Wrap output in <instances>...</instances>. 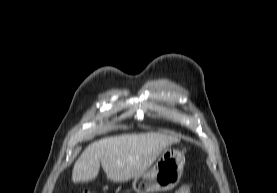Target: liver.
Wrapping results in <instances>:
<instances>
[{"instance_id": "1", "label": "liver", "mask_w": 277, "mask_h": 193, "mask_svg": "<svg viewBox=\"0 0 277 193\" xmlns=\"http://www.w3.org/2000/svg\"><path fill=\"white\" fill-rule=\"evenodd\" d=\"M177 137L160 133L122 134L91 143L75 162L72 180L75 183L97 177L100 164L108 179L124 182L145 173L160 153Z\"/></svg>"}]
</instances>
